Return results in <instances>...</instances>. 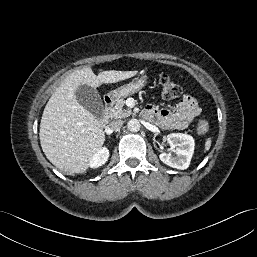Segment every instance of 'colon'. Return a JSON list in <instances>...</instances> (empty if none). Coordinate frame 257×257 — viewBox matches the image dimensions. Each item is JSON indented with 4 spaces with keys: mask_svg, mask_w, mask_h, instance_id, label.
<instances>
[{
    "mask_svg": "<svg viewBox=\"0 0 257 257\" xmlns=\"http://www.w3.org/2000/svg\"><path fill=\"white\" fill-rule=\"evenodd\" d=\"M159 85L161 88L162 95L165 99H175L181 95V88L172 79L166 75L162 74L159 77ZM209 129V124L205 120H201L197 125V130L199 133H205Z\"/></svg>",
    "mask_w": 257,
    "mask_h": 257,
    "instance_id": "obj_1",
    "label": "colon"
}]
</instances>
